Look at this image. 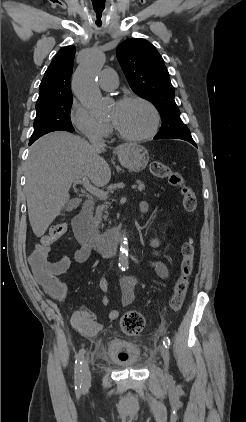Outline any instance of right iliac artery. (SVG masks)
Listing matches in <instances>:
<instances>
[{"mask_svg": "<svg viewBox=\"0 0 246 422\" xmlns=\"http://www.w3.org/2000/svg\"><path fill=\"white\" fill-rule=\"evenodd\" d=\"M84 350L81 349L76 356L75 361V389L79 390L82 386V362L84 359Z\"/></svg>", "mask_w": 246, "mask_h": 422, "instance_id": "obj_1", "label": "right iliac artery"}]
</instances>
